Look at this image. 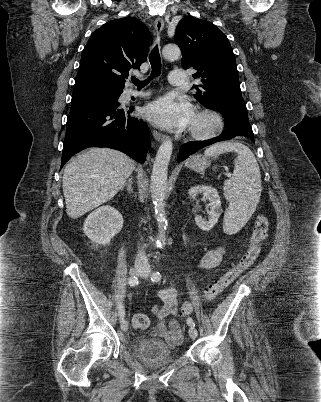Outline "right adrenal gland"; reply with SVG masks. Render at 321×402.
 Listing matches in <instances>:
<instances>
[{
    "label": "right adrenal gland",
    "instance_id": "obj_1",
    "mask_svg": "<svg viewBox=\"0 0 321 402\" xmlns=\"http://www.w3.org/2000/svg\"><path fill=\"white\" fill-rule=\"evenodd\" d=\"M132 180H133V178H132V177H129V178H128V181L122 186L121 189H123V188L126 186L128 192H132V191H133V188H132Z\"/></svg>",
    "mask_w": 321,
    "mask_h": 402
}]
</instances>
